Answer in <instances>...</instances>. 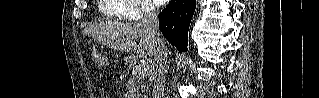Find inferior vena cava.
I'll list each match as a JSON object with an SVG mask.
<instances>
[{
    "mask_svg": "<svg viewBox=\"0 0 319 98\" xmlns=\"http://www.w3.org/2000/svg\"><path fill=\"white\" fill-rule=\"evenodd\" d=\"M142 24L147 28L149 34L153 37L156 44L154 53L155 68L152 73L154 81L152 98H163L166 82L167 65V50L165 40L159 31V20L156 7L153 3L148 2L145 5Z\"/></svg>",
    "mask_w": 319,
    "mask_h": 98,
    "instance_id": "obj_1",
    "label": "inferior vena cava"
}]
</instances>
